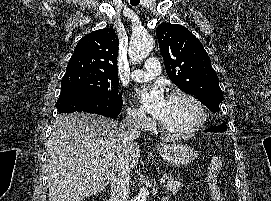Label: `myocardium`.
<instances>
[{
  "instance_id": "myocardium-1",
  "label": "myocardium",
  "mask_w": 271,
  "mask_h": 201,
  "mask_svg": "<svg viewBox=\"0 0 271 201\" xmlns=\"http://www.w3.org/2000/svg\"><path fill=\"white\" fill-rule=\"evenodd\" d=\"M168 98H183L191 102L198 112V120L193 126L189 127L188 129L179 131L171 130L165 127L160 121H158V128L162 133L174 137H185L194 134L205 125L208 118L207 112L203 103L196 96L183 90H173L169 93Z\"/></svg>"
}]
</instances>
